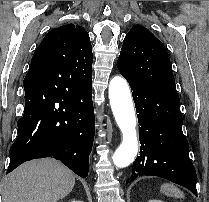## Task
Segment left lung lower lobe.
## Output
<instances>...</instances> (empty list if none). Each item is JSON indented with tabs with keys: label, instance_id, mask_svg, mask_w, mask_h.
<instances>
[{
	"label": "left lung lower lobe",
	"instance_id": "0a47b994",
	"mask_svg": "<svg viewBox=\"0 0 209 202\" xmlns=\"http://www.w3.org/2000/svg\"><path fill=\"white\" fill-rule=\"evenodd\" d=\"M139 113L140 155L126 184L139 176H159L186 187L197 196V176L182 132L180 99L175 92L125 77Z\"/></svg>",
	"mask_w": 209,
	"mask_h": 202
}]
</instances>
